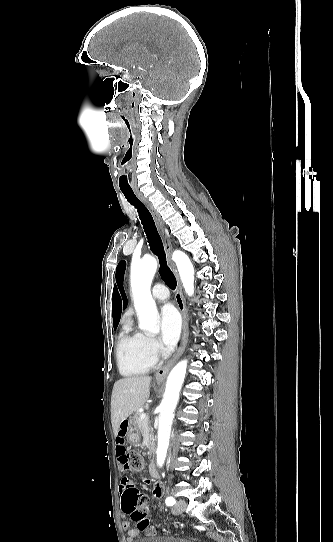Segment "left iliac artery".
<instances>
[{
  "label": "left iliac artery",
  "instance_id": "left-iliac-artery-1",
  "mask_svg": "<svg viewBox=\"0 0 333 542\" xmlns=\"http://www.w3.org/2000/svg\"><path fill=\"white\" fill-rule=\"evenodd\" d=\"M165 503L168 506H170V505H174L176 503V501H175V499L173 497H168V498H166Z\"/></svg>",
  "mask_w": 333,
  "mask_h": 542
}]
</instances>
